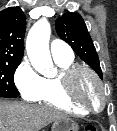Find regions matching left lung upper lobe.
I'll use <instances>...</instances> for the list:
<instances>
[{"label": "left lung upper lobe", "mask_w": 117, "mask_h": 131, "mask_svg": "<svg viewBox=\"0 0 117 131\" xmlns=\"http://www.w3.org/2000/svg\"><path fill=\"white\" fill-rule=\"evenodd\" d=\"M55 27L59 37L102 78L99 58L83 18L78 13L67 12L57 18Z\"/></svg>", "instance_id": "5c2ea615"}]
</instances>
